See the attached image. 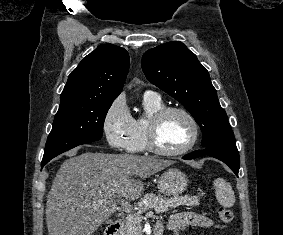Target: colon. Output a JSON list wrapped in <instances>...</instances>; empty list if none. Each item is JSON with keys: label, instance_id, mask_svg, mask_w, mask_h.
Segmentation results:
<instances>
[{"label": "colon", "instance_id": "5ec220e1", "mask_svg": "<svg viewBox=\"0 0 283 235\" xmlns=\"http://www.w3.org/2000/svg\"><path fill=\"white\" fill-rule=\"evenodd\" d=\"M218 217L223 223H231L233 220V213L228 208H219L218 209Z\"/></svg>", "mask_w": 283, "mask_h": 235}]
</instances>
